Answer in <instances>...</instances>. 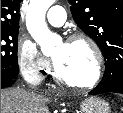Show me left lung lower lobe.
<instances>
[{
	"label": "left lung lower lobe",
	"instance_id": "0a47b994",
	"mask_svg": "<svg viewBox=\"0 0 123 113\" xmlns=\"http://www.w3.org/2000/svg\"><path fill=\"white\" fill-rule=\"evenodd\" d=\"M107 92H114V93H122L123 94V82H120L113 87H106V86L99 83L95 89H93L92 91L89 92V94L97 95V94H102V93H107Z\"/></svg>",
	"mask_w": 123,
	"mask_h": 113
}]
</instances>
